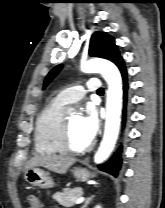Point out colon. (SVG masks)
Listing matches in <instances>:
<instances>
[{"label":"colon","instance_id":"5ec220e1","mask_svg":"<svg viewBox=\"0 0 165 208\" xmlns=\"http://www.w3.org/2000/svg\"><path fill=\"white\" fill-rule=\"evenodd\" d=\"M27 204L29 208H41V201L36 195H29L27 197Z\"/></svg>","mask_w":165,"mask_h":208}]
</instances>
